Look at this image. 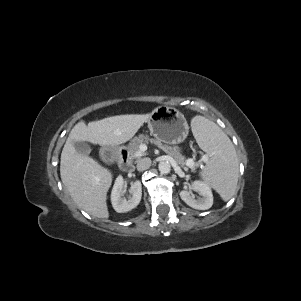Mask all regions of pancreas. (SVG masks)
<instances>
[{
  "label": "pancreas",
  "instance_id": "pancreas-1",
  "mask_svg": "<svg viewBox=\"0 0 301 301\" xmlns=\"http://www.w3.org/2000/svg\"><path fill=\"white\" fill-rule=\"evenodd\" d=\"M155 144L158 146L160 149H162L165 153L169 154L172 156L175 161L181 165L184 166L186 165L187 160L185 157L180 153V148L177 146H168L165 144H162L160 141L156 139H151L148 135H139L138 137H135L128 146V150L130 154L134 157L136 156V153L139 151L140 145L142 144ZM146 153H142V155H145Z\"/></svg>",
  "mask_w": 301,
  "mask_h": 301
}]
</instances>
